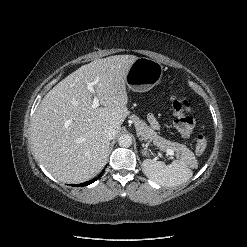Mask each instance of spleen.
Wrapping results in <instances>:
<instances>
[{
	"label": "spleen",
	"mask_w": 247,
	"mask_h": 247,
	"mask_svg": "<svg viewBox=\"0 0 247 247\" xmlns=\"http://www.w3.org/2000/svg\"><path fill=\"white\" fill-rule=\"evenodd\" d=\"M145 175L166 187H173L188 181L193 176V171L182 160H174L166 165L164 162L152 159L143 161Z\"/></svg>",
	"instance_id": "spleen-1"
}]
</instances>
